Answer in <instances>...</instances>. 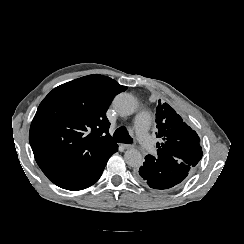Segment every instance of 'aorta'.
<instances>
[{
    "mask_svg": "<svg viewBox=\"0 0 244 244\" xmlns=\"http://www.w3.org/2000/svg\"><path fill=\"white\" fill-rule=\"evenodd\" d=\"M113 107L120 116H129L137 110V101L132 95L121 93L114 98ZM124 159L127 165L133 168H138L143 164V157L135 148L128 149L124 154Z\"/></svg>",
    "mask_w": 244,
    "mask_h": 244,
    "instance_id": "aorta-1",
    "label": "aorta"
}]
</instances>
